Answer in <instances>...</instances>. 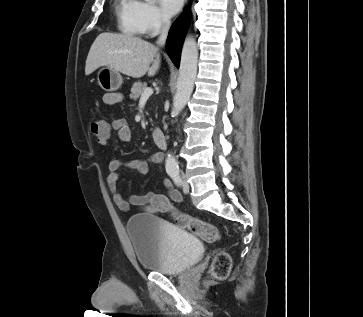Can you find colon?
<instances>
[{
  "label": "colon",
  "instance_id": "colon-1",
  "mask_svg": "<svg viewBox=\"0 0 363 317\" xmlns=\"http://www.w3.org/2000/svg\"><path fill=\"white\" fill-rule=\"evenodd\" d=\"M89 127L91 133L95 136L103 134L106 128L105 122L102 120H92ZM168 211L171 212L172 217L180 227L198 235L204 241L215 242L219 240L220 233L213 224L182 214L172 206H168ZM230 270L231 259L229 255L225 252L217 253L212 260L210 276L215 279H224L229 275Z\"/></svg>",
  "mask_w": 363,
  "mask_h": 317
}]
</instances>
